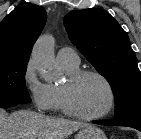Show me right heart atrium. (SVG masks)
Segmentation results:
<instances>
[{
  "label": "right heart atrium",
  "mask_w": 141,
  "mask_h": 139,
  "mask_svg": "<svg viewBox=\"0 0 141 139\" xmlns=\"http://www.w3.org/2000/svg\"><path fill=\"white\" fill-rule=\"evenodd\" d=\"M22 81L25 91L35 109L38 111L50 110L51 95L49 86L39 79L32 60H29L25 65Z\"/></svg>",
  "instance_id": "obj_1"
}]
</instances>
